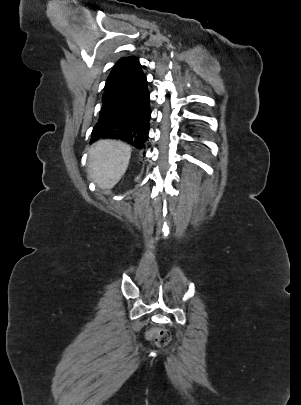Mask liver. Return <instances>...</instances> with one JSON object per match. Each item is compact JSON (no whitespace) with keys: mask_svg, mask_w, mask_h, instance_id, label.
I'll list each match as a JSON object with an SVG mask.
<instances>
[{"mask_svg":"<svg viewBox=\"0 0 301 405\" xmlns=\"http://www.w3.org/2000/svg\"><path fill=\"white\" fill-rule=\"evenodd\" d=\"M131 147L121 141L101 140L89 151L88 167L99 188H113L125 174L131 157Z\"/></svg>","mask_w":301,"mask_h":405,"instance_id":"obj_1","label":"liver"}]
</instances>
